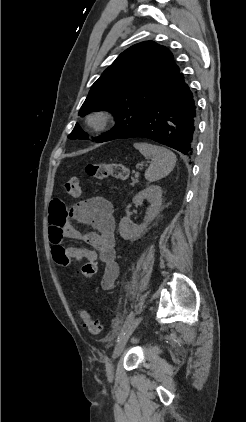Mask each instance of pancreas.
I'll list each match as a JSON object with an SVG mask.
<instances>
[{
	"mask_svg": "<svg viewBox=\"0 0 246 422\" xmlns=\"http://www.w3.org/2000/svg\"><path fill=\"white\" fill-rule=\"evenodd\" d=\"M138 182V179L136 178H132V182H131V186H133L134 184H136Z\"/></svg>",
	"mask_w": 246,
	"mask_h": 422,
	"instance_id": "1",
	"label": "pancreas"
}]
</instances>
